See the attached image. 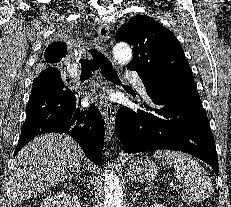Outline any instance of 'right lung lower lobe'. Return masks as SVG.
I'll list each match as a JSON object with an SVG mask.
<instances>
[{
	"label": "right lung lower lobe",
	"instance_id": "right-lung-lower-lobe-1",
	"mask_svg": "<svg viewBox=\"0 0 231 207\" xmlns=\"http://www.w3.org/2000/svg\"><path fill=\"white\" fill-rule=\"evenodd\" d=\"M26 112L14 156L38 134L64 132L93 163L102 164L105 129L101 114L95 106L77 107L75 91L65 87L57 68L45 69L34 79Z\"/></svg>",
	"mask_w": 231,
	"mask_h": 207
}]
</instances>
